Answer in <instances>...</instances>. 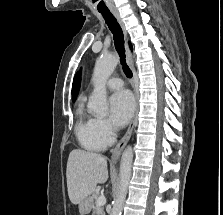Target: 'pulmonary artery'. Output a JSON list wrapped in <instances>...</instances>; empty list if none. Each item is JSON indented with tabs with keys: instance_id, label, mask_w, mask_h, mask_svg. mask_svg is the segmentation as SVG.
<instances>
[{
	"instance_id": "obj_1",
	"label": "pulmonary artery",
	"mask_w": 223,
	"mask_h": 215,
	"mask_svg": "<svg viewBox=\"0 0 223 215\" xmlns=\"http://www.w3.org/2000/svg\"><path fill=\"white\" fill-rule=\"evenodd\" d=\"M106 85L110 89H121L124 86V82L121 78L113 76L107 80Z\"/></svg>"
}]
</instances>
